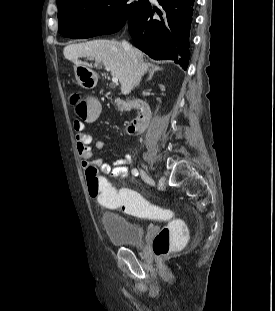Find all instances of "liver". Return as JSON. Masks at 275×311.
<instances>
[{"label": "liver", "mask_w": 275, "mask_h": 311, "mask_svg": "<svg viewBox=\"0 0 275 311\" xmlns=\"http://www.w3.org/2000/svg\"><path fill=\"white\" fill-rule=\"evenodd\" d=\"M137 57L141 60L137 69L125 50L123 44L118 41L93 40L86 43L71 44L64 48L63 54L66 59L72 61L76 66H87L79 58L87 57L94 59L97 63L110 70L113 77H117L121 84V92L129 94L135 85L146 73L149 64L143 61V53L136 48H132Z\"/></svg>", "instance_id": "obj_1"}]
</instances>
